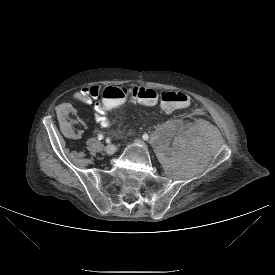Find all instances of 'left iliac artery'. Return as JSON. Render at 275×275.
<instances>
[{"label":"left iliac artery","instance_id":"1","mask_svg":"<svg viewBox=\"0 0 275 275\" xmlns=\"http://www.w3.org/2000/svg\"><path fill=\"white\" fill-rule=\"evenodd\" d=\"M142 137H143V139H144V140H148V138H149V136H148V134H147V133L143 134V136H142Z\"/></svg>","mask_w":275,"mask_h":275}]
</instances>
